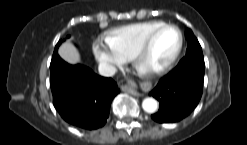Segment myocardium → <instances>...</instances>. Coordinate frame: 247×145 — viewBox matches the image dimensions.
Listing matches in <instances>:
<instances>
[{"mask_svg": "<svg viewBox=\"0 0 247 145\" xmlns=\"http://www.w3.org/2000/svg\"><path fill=\"white\" fill-rule=\"evenodd\" d=\"M166 28H173L178 33L179 42H178V46H177L174 54L165 64H163L157 68L148 69V70L143 69L142 68V61H143L145 55L147 54V52L149 51L153 40L155 39V37L157 36V34L159 32H161L162 30H164ZM183 43H184V38H183V34H182L180 28L174 24L163 23L162 25L155 28L154 30H152L148 34V36L142 42L140 47L134 53L133 57L131 58L133 66L140 75L147 77V78H155L157 76L163 75L167 71H169L173 67V65L176 63L177 59L179 58V56L181 54V51L183 48Z\"/></svg>", "mask_w": 247, "mask_h": 145, "instance_id": "obj_1", "label": "myocardium"}]
</instances>
